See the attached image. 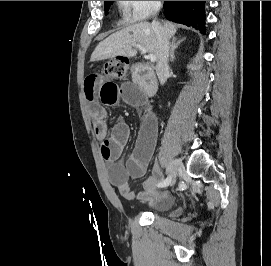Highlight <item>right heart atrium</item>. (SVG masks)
<instances>
[{"mask_svg": "<svg viewBox=\"0 0 271 266\" xmlns=\"http://www.w3.org/2000/svg\"><path fill=\"white\" fill-rule=\"evenodd\" d=\"M129 23H140L154 15L160 8V1H119Z\"/></svg>", "mask_w": 271, "mask_h": 266, "instance_id": "1", "label": "right heart atrium"}]
</instances>
